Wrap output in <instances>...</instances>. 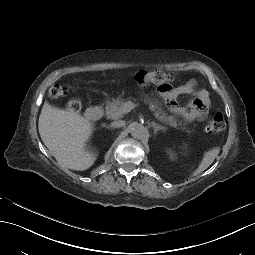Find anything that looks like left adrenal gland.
<instances>
[{"label":"left adrenal gland","instance_id":"left-adrenal-gland-1","mask_svg":"<svg viewBox=\"0 0 255 255\" xmlns=\"http://www.w3.org/2000/svg\"><path fill=\"white\" fill-rule=\"evenodd\" d=\"M151 126L154 128V134H157L158 130H166L165 127L155 123V122H151Z\"/></svg>","mask_w":255,"mask_h":255}]
</instances>
